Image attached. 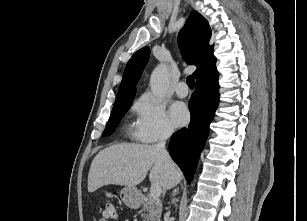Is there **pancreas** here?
I'll use <instances>...</instances> for the list:
<instances>
[{"mask_svg": "<svg viewBox=\"0 0 307 221\" xmlns=\"http://www.w3.org/2000/svg\"><path fill=\"white\" fill-rule=\"evenodd\" d=\"M143 207L141 209L143 221H160L162 203L158 199L147 195L143 198Z\"/></svg>", "mask_w": 307, "mask_h": 221, "instance_id": "pancreas-1", "label": "pancreas"}]
</instances>
